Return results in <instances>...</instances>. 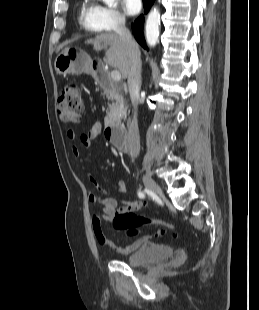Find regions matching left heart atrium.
Wrapping results in <instances>:
<instances>
[{
    "instance_id": "39dd6f15",
    "label": "left heart atrium",
    "mask_w": 259,
    "mask_h": 310,
    "mask_svg": "<svg viewBox=\"0 0 259 310\" xmlns=\"http://www.w3.org/2000/svg\"><path fill=\"white\" fill-rule=\"evenodd\" d=\"M122 5L128 15L137 14L142 7L141 0H122Z\"/></svg>"
}]
</instances>
